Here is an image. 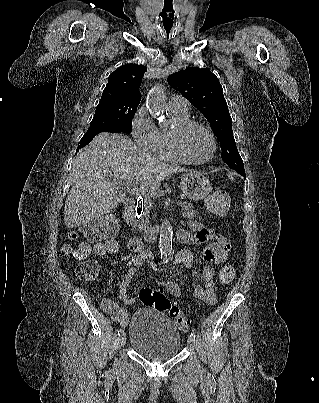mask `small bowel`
I'll return each mask as SVG.
<instances>
[{"label": "small bowel", "instance_id": "obj_1", "mask_svg": "<svg viewBox=\"0 0 319 403\" xmlns=\"http://www.w3.org/2000/svg\"><path fill=\"white\" fill-rule=\"evenodd\" d=\"M190 225L194 233L179 231V240L189 245L208 243L203 252L204 265L202 266V283H196L194 285L192 295L194 298L204 301L208 305H214L217 302V295L214 291V268L211 263L220 264L224 262L229 255L231 247L227 239L216 233L214 230L204 228L196 221H192ZM144 260H151L150 265L154 269H159L157 264L152 261V254L150 252L144 251L129 259V269L122 278L119 291V299L121 303L125 305L134 303V298L130 294L131 281L136 273V269L142 265ZM179 263H183L188 270L192 271V253L188 250H182L179 252L175 258L174 264ZM157 285L164 288L174 297H179L181 294L179 286L174 282L158 281ZM101 308L121 327L125 328L128 325L129 314L121 304L111 300H103L101 302Z\"/></svg>", "mask_w": 319, "mask_h": 403}]
</instances>
